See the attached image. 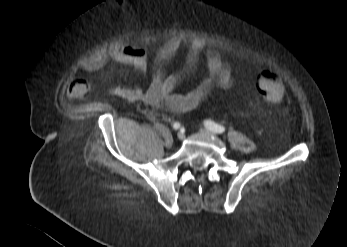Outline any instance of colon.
I'll return each instance as SVG.
<instances>
[{"mask_svg": "<svg viewBox=\"0 0 347 247\" xmlns=\"http://www.w3.org/2000/svg\"><path fill=\"white\" fill-rule=\"evenodd\" d=\"M260 93L271 104H280L286 98V87L272 70H263L257 76Z\"/></svg>", "mask_w": 347, "mask_h": 247, "instance_id": "5ec220e1", "label": "colon"}]
</instances>
